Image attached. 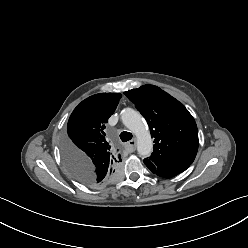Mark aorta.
Returning <instances> with one entry per match:
<instances>
[{
    "mask_svg": "<svg viewBox=\"0 0 248 248\" xmlns=\"http://www.w3.org/2000/svg\"><path fill=\"white\" fill-rule=\"evenodd\" d=\"M121 120L136 135L139 155L149 156L153 150V142L141 114L131 108H126L121 113Z\"/></svg>",
    "mask_w": 248,
    "mask_h": 248,
    "instance_id": "aorta-1",
    "label": "aorta"
}]
</instances>
